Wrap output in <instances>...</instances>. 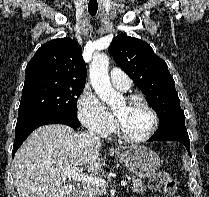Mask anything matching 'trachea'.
Wrapping results in <instances>:
<instances>
[{"label": "trachea", "instance_id": "1", "mask_svg": "<svg viewBox=\"0 0 209 197\" xmlns=\"http://www.w3.org/2000/svg\"><path fill=\"white\" fill-rule=\"evenodd\" d=\"M98 10V3L96 0H92L88 4V12L91 16H95Z\"/></svg>", "mask_w": 209, "mask_h": 197}]
</instances>
